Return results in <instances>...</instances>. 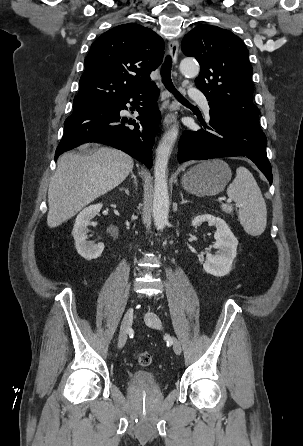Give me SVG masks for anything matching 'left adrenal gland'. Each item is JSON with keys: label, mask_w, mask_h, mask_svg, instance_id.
Wrapping results in <instances>:
<instances>
[{"label": "left adrenal gland", "mask_w": 303, "mask_h": 446, "mask_svg": "<svg viewBox=\"0 0 303 446\" xmlns=\"http://www.w3.org/2000/svg\"><path fill=\"white\" fill-rule=\"evenodd\" d=\"M180 196H181V199H182V200H181V204L190 202L189 200H185V199H184L182 192L180 193Z\"/></svg>", "instance_id": "obj_1"}]
</instances>
